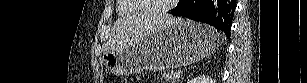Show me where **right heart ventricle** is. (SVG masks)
<instances>
[{
	"mask_svg": "<svg viewBox=\"0 0 307 83\" xmlns=\"http://www.w3.org/2000/svg\"><path fill=\"white\" fill-rule=\"evenodd\" d=\"M140 10L135 3L130 0H121L118 5L119 14H132L138 13Z\"/></svg>",
	"mask_w": 307,
	"mask_h": 83,
	"instance_id": "right-heart-ventricle-1",
	"label": "right heart ventricle"
}]
</instances>
